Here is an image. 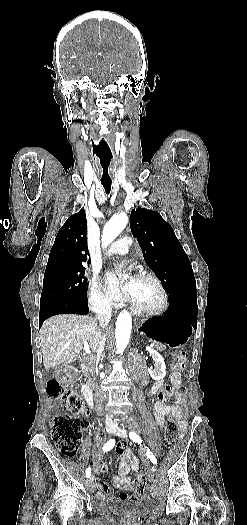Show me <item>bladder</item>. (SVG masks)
<instances>
[{"mask_svg": "<svg viewBox=\"0 0 247 525\" xmlns=\"http://www.w3.org/2000/svg\"><path fill=\"white\" fill-rule=\"evenodd\" d=\"M154 505V496L143 493L134 498L112 499L108 507L109 512L117 517L137 518L148 514Z\"/></svg>", "mask_w": 247, "mask_h": 525, "instance_id": "bladder-1", "label": "bladder"}]
</instances>
